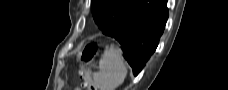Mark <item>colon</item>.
<instances>
[{
    "label": "colon",
    "instance_id": "colon-1",
    "mask_svg": "<svg viewBox=\"0 0 228 90\" xmlns=\"http://www.w3.org/2000/svg\"><path fill=\"white\" fill-rule=\"evenodd\" d=\"M98 51L99 44L97 42H89L80 53L79 59L84 63H90L95 59ZM82 78L84 90H97L89 72H83ZM75 90H79V88H75Z\"/></svg>",
    "mask_w": 228,
    "mask_h": 90
}]
</instances>
